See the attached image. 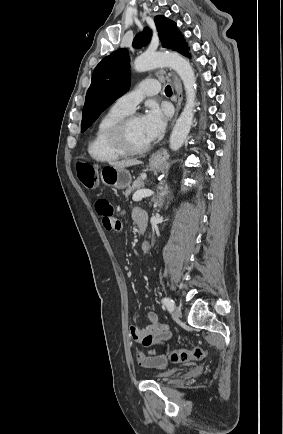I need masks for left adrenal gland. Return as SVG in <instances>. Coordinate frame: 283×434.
<instances>
[{"label": "left adrenal gland", "instance_id": "obj_1", "mask_svg": "<svg viewBox=\"0 0 283 434\" xmlns=\"http://www.w3.org/2000/svg\"><path fill=\"white\" fill-rule=\"evenodd\" d=\"M169 190H168V186L166 185L164 190L159 194L157 200H156V204L155 207L161 208L164 204L165 201V197L169 194Z\"/></svg>", "mask_w": 283, "mask_h": 434}]
</instances>
